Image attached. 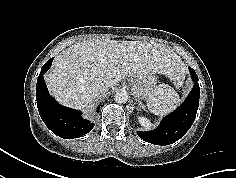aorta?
<instances>
[{"label": "aorta", "instance_id": "aorta-1", "mask_svg": "<svg viewBox=\"0 0 236 178\" xmlns=\"http://www.w3.org/2000/svg\"><path fill=\"white\" fill-rule=\"evenodd\" d=\"M114 100L115 102L122 104L125 103L128 100V94L125 90H118L114 94Z\"/></svg>", "mask_w": 236, "mask_h": 178}]
</instances>
